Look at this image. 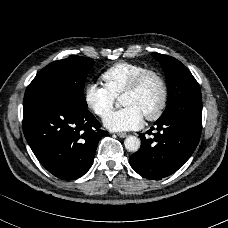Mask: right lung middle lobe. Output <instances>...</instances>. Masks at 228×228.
I'll list each match as a JSON object with an SVG mask.
<instances>
[{
	"instance_id": "right-lung-middle-lobe-1",
	"label": "right lung middle lobe",
	"mask_w": 228,
	"mask_h": 228,
	"mask_svg": "<svg viewBox=\"0 0 228 228\" xmlns=\"http://www.w3.org/2000/svg\"><path fill=\"white\" fill-rule=\"evenodd\" d=\"M93 60L71 55L43 68L26 89L25 96L58 95L87 108L84 84Z\"/></svg>"
}]
</instances>
